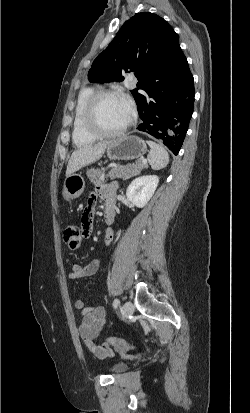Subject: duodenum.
Wrapping results in <instances>:
<instances>
[{
	"label": "duodenum",
	"mask_w": 250,
	"mask_h": 413,
	"mask_svg": "<svg viewBox=\"0 0 250 413\" xmlns=\"http://www.w3.org/2000/svg\"><path fill=\"white\" fill-rule=\"evenodd\" d=\"M115 218V211L113 208L109 207L105 211V221L107 224H112Z\"/></svg>",
	"instance_id": "1"
}]
</instances>
